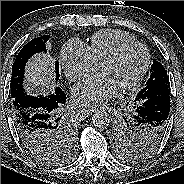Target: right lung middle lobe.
<instances>
[{"mask_svg":"<svg viewBox=\"0 0 184 184\" xmlns=\"http://www.w3.org/2000/svg\"><path fill=\"white\" fill-rule=\"evenodd\" d=\"M49 40V35H43L32 39L18 53L12 66V79L10 83L11 97L26 93L23 88V79L25 65L36 53L47 52L46 42ZM56 79H59V64L55 63ZM51 126V140L39 146L27 145L26 148L30 153L45 164H57L64 160L66 151L72 150L75 145L74 129L69 125L65 117L60 113L58 117H54L49 122Z\"/></svg>","mask_w":184,"mask_h":184,"instance_id":"dd1d6c3e","label":"right lung middle lobe"}]
</instances>
